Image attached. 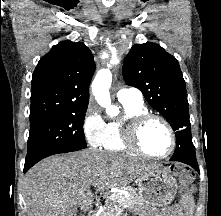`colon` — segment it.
Segmentation results:
<instances>
[{
  "instance_id": "5ec220e1",
  "label": "colon",
  "mask_w": 221,
  "mask_h": 216,
  "mask_svg": "<svg viewBox=\"0 0 221 216\" xmlns=\"http://www.w3.org/2000/svg\"><path fill=\"white\" fill-rule=\"evenodd\" d=\"M173 172L177 175L181 184L183 185L182 191L184 198L189 201L191 199V192L189 188L191 177L189 175V171L185 167L175 166L173 168Z\"/></svg>"
}]
</instances>
